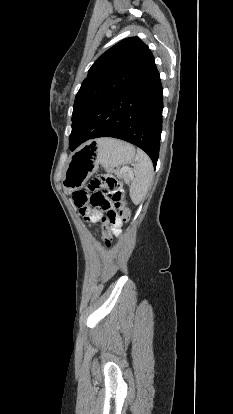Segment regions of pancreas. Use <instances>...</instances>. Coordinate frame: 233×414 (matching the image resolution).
Returning <instances> with one entry per match:
<instances>
[{
    "instance_id": "pancreas-1",
    "label": "pancreas",
    "mask_w": 233,
    "mask_h": 414,
    "mask_svg": "<svg viewBox=\"0 0 233 414\" xmlns=\"http://www.w3.org/2000/svg\"><path fill=\"white\" fill-rule=\"evenodd\" d=\"M116 175H117L119 178L124 179V181H125L126 183H129V181H130V175H129L127 172L117 171V172H116Z\"/></svg>"
}]
</instances>
